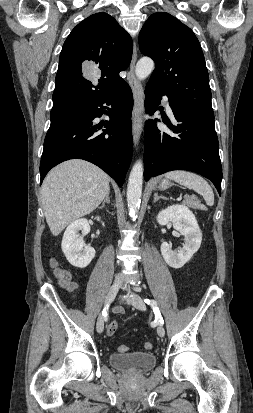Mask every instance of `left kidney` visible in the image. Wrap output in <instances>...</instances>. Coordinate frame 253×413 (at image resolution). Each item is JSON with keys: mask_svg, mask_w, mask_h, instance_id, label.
I'll return each instance as SVG.
<instances>
[{"mask_svg": "<svg viewBox=\"0 0 253 413\" xmlns=\"http://www.w3.org/2000/svg\"><path fill=\"white\" fill-rule=\"evenodd\" d=\"M157 222L160 225L172 222L174 229L184 236L185 243L177 252L172 250L168 242L161 245L165 262L172 268H182L198 251L202 241V233L194 214L185 205H172L159 212Z\"/></svg>", "mask_w": 253, "mask_h": 413, "instance_id": "left-kidney-1", "label": "left kidney"}]
</instances>
